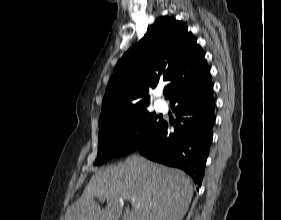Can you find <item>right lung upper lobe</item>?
I'll return each mask as SVG.
<instances>
[{
    "instance_id": "right-lung-upper-lobe-1",
    "label": "right lung upper lobe",
    "mask_w": 281,
    "mask_h": 220,
    "mask_svg": "<svg viewBox=\"0 0 281 220\" xmlns=\"http://www.w3.org/2000/svg\"><path fill=\"white\" fill-rule=\"evenodd\" d=\"M196 38L181 21L159 17L118 61L102 102L99 126L149 105L147 93L169 82L166 98L210 81V69Z\"/></svg>"
}]
</instances>
